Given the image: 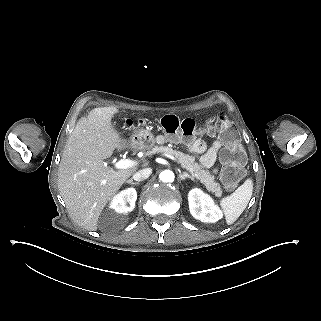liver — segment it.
Instances as JSON below:
<instances>
[{
	"mask_svg": "<svg viewBox=\"0 0 321 321\" xmlns=\"http://www.w3.org/2000/svg\"><path fill=\"white\" fill-rule=\"evenodd\" d=\"M118 108L92 109L77 122L67 140L58 170V189L72 220L96 231L98 219L108 201L136 168L114 171L104 165L115 149L127 147L111 119Z\"/></svg>",
	"mask_w": 321,
	"mask_h": 321,
	"instance_id": "1",
	"label": "liver"
}]
</instances>
